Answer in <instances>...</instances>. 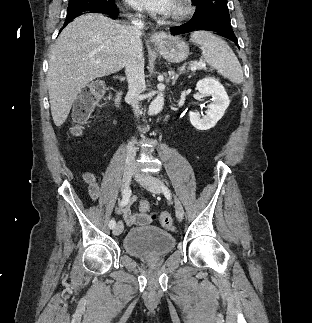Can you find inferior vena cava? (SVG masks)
Masks as SVG:
<instances>
[{
    "mask_svg": "<svg viewBox=\"0 0 312 323\" xmlns=\"http://www.w3.org/2000/svg\"><path fill=\"white\" fill-rule=\"evenodd\" d=\"M137 18H132L128 26H122L125 28V34L128 36L130 44V52L125 64L126 76L128 82V96L131 100L134 114L139 116L140 110L138 108V98L145 90V74H144V58L142 52V32L144 24L141 18H144L142 14H136ZM135 142H129L127 146V154L135 152Z\"/></svg>",
    "mask_w": 312,
    "mask_h": 323,
    "instance_id": "inferior-vena-cava-1",
    "label": "inferior vena cava"
}]
</instances>
